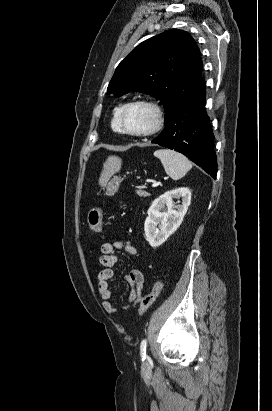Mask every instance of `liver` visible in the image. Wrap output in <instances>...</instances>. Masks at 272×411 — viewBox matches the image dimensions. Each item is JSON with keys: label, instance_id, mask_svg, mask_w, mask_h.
I'll return each mask as SVG.
<instances>
[{"label": "liver", "instance_id": "1", "mask_svg": "<svg viewBox=\"0 0 272 411\" xmlns=\"http://www.w3.org/2000/svg\"><path fill=\"white\" fill-rule=\"evenodd\" d=\"M122 160L117 156H109L106 162L103 164V171L99 179V184L104 186L109 180L110 176L120 170Z\"/></svg>", "mask_w": 272, "mask_h": 411}]
</instances>
